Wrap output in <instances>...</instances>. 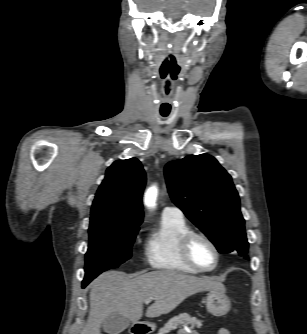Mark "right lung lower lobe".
Wrapping results in <instances>:
<instances>
[{
	"mask_svg": "<svg viewBox=\"0 0 307 334\" xmlns=\"http://www.w3.org/2000/svg\"><path fill=\"white\" fill-rule=\"evenodd\" d=\"M86 285L83 283V287H85Z\"/></svg>",
	"mask_w": 307,
	"mask_h": 334,
	"instance_id": "98d812e1",
	"label": "right lung lower lobe"
}]
</instances>
